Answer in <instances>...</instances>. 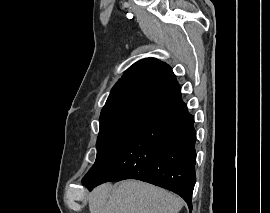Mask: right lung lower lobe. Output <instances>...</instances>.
I'll use <instances>...</instances> for the list:
<instances>
[{
    "instance_id": "obj_1",
    "label": "right lung lower lobe",
    "mask_w": 270,
    "mask_h": 213,
    "mask_svg": "<svg viewBox=\"0 0 270 213\" xmlns=\"http://www.w3.org/2000/svg\"><path fill=\"white\" fill-rule=\"evenodd\" d=\"M195 141L194 117L179 93L156 105L109 163L83 184L92 189L107 181L138 179L180 195L191 212Z\"/></svg>"
}]
</instances>
